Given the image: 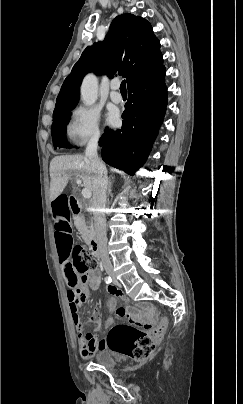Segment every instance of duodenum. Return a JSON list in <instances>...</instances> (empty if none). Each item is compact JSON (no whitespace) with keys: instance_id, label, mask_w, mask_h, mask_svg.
<instances>
[{"instance_id":"duodenum-1","label":"duodenum","mask_w":243,"mask_h":404,"mask_svg":"<svg viewBox=\"0 0 243 404\" xmlns=\"http://www.w3.org/2000/svg\"><path fill=\"white\" fill-rule=\"evenodd\" d=\"M70 208L73 213L78 214L81 211V204L75 197H70ZM91 250L96 259L101 258V249L97 240H92L90 243Z\"/></svg>"}]
</instances>
